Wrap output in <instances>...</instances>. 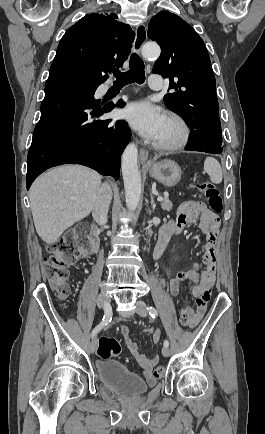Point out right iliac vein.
<instances>
[{
    "label": "right iliac vein",
    "instance_id": "obj_1",
    "mask_svg": "<svg viewBox=\"0 0 265 434\" xmlns=\"http://www.w3.org/2000/svg\"><path fill=\"white\" fill-rule=\"evenodd\" d=\"M97 302L99 307L110 306V298L106 294H100L97 298ZM98 348V339L97 336H94L91 341V353H94Z\"/></svg>",
    "mask_w": 265,
    "mask_h": 434
}]
</instances>
